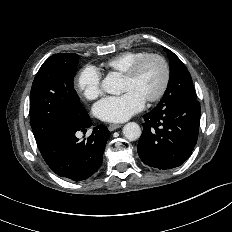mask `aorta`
Wrapping results in <instances>:
<instances>
[{
    "label": "aorta",
    "mask_w": 232,
    "mask_h": 232,
    "mask_svg": "<svg viewBox=\"0 0 232 232\" xmlns=\"http://www.w3.org/2000/svg\"><path fill=\"white\" fill-rule=\"evenodd\" d=\"M102 88L106 93L119 95L123 91L122 78L116 73L108 74L102 81ZM123 134L128 140H136L141 135V128L135 122H129L123 127Z\"/></svg>",
    "instance_id": "1"
}]
</instances>
